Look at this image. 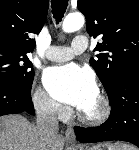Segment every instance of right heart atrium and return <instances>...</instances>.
Segmentation results:
<instances>
[{
	"label": "right heart atrium",
	"mask_w": 139,
	"mask_h": 150,
	"mask_svg": "<svg viewBox=\"0 0 139 150\" xmlns=\"http://www.w3.org/2000/svg\"><path fill=\"white\" fill-rule=\"evenodd\" d=\"M33 104L36 111L43 116L55 117L64 113V108L42 88L34 92Z\"/></svg>",
	"instance_id": "right-heart-atrium-1"
}]
</instances>
